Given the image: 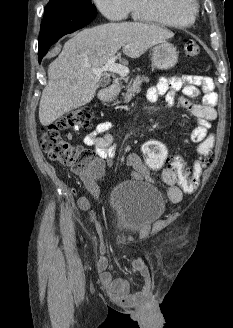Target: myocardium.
<instances>
[{
  "label": "myocardium",
  "instance_id": "myocardium-1",
  "mask_svg": "<svg viewBox=\"0 0 233 328\" xmlns=\"http://www.w3.org/2000/svg\"><path fill=\"white\" fill-rule=\"evenodd\" d=\"M166 1V0H161ZM176 2L172 4V7L181 16L186 18L195 19L198 13V2L197 0H175Z\"/></svg>",
  "mask_w": 233,
  "mask_h": 328
}]
</instances>
